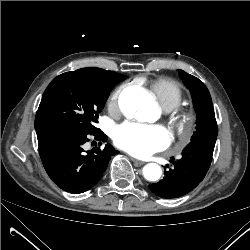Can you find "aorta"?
<instances>
[{
	"label": "aorta",
	"mask_w": 250,
	"mask_h": 250,
	"mask_svg": "<svg viewBox=\"0 0 250 250\" xmlns=\"http://www.w3.org/2000/svg\"><path fill=\"white\" fill-rule=\"evenodd\" d=\"M148 92L140 87H131L123 92L119 105L127 117H136L139 120H150L155 115V108L146 103ZM162 174L158 164L149 163L143 168V175L149 181H157Z\"/></svg>",
	"instance_id": "1"
}]
</instances>
